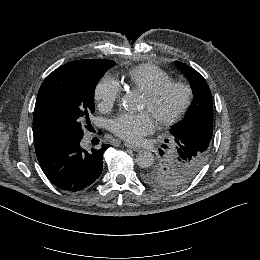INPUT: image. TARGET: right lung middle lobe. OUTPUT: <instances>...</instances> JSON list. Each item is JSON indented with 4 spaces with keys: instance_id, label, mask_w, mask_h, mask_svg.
<instances>
[{
    "instance_id": "1",
    "label": "right lung middle lobe",
    "mask_w": 260,
    "mask_h": 260,
    "mask_svg": "<svg viewBox=\"0 0 260 260\" xmlns=\"http://www.w3.org/2000/svg\"><path fill=\"white\" fill-rule=\"evenodd\" d=\"M57 68L42 83L34 110L33 135L43 142L82 138L84 124L94 112V91L114 65Z\"/></svg>"
}]
</instances>
